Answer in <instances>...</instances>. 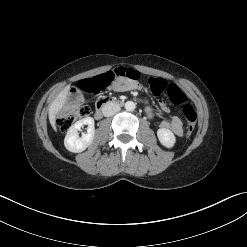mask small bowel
I'll list each match as a JSON object with an SVG mask.
<instances>
[{
  "instance_id": "1",
  "label": "small bowel",
  "mask_w": 247,
  "mask_h": 247,
  "mask_svg": "<svg viewBox=\"0 0 247 247\" xmlns=\"http://www.w3.org/2000/svg\"><path fill=\"white\" fill-rule=\"evenodd\" d=\"M112 88L118 92L126 91H139L141 89L140 84L133 79L127 77L117 78ZM164 111H167L165 105H161ZM160 128L163 130H170L177 136L183 135V124L178 116H172L169 120H164L160 123Z\"/></svg>"
}]
</instances>
